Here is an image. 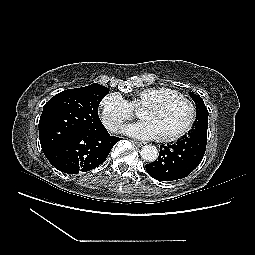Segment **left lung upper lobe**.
Segmentation results:
<instances>
[{
	"label": "left lung upper lobe",
	"instance_id": "left-lung-upper-lobe-1",
	"mask_svg": "<svg viewBox=\"0 0 255 255\" xmlns=\"http://www.w3.org/2000/svg\"><path fill=\"white\" fill-rule=\"evenodd\" d=\"M190 96L196 104V112H197L194 129H198L201 127L208 128V110H207L202 98L196 94H191Z\"/></svg>",
	"mask_w": 255,
	"mask_h": 255
}]
</instances>
